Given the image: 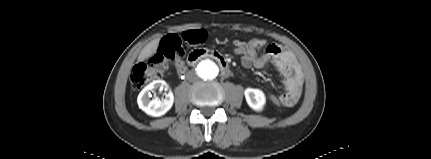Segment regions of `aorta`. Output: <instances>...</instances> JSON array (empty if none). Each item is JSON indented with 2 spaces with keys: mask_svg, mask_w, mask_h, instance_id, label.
Returning a JSON list of instances; mask_svg holds the SVG:
<instances>
[{
  "mask_svg": "<svg viewBox=\"0 0 431 159\" xmlns=\"http://www.w3.org/2000/svg\"><path fill=\"white\" fill-rule=\"evenodd\" d=\"M199 78L204 81L214 80L219 74V68L215 62L204 60L200 62L196 68Z\"/></svg>",
  "mask_w": 431,
  "mask_h": 159,
  "instance_id": "obj_1",
  "label": "aorta"
}]
</instances>
